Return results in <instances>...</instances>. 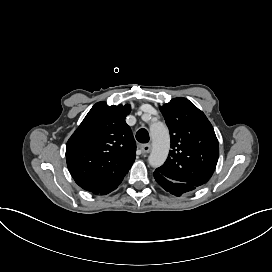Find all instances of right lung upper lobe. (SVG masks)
I'll use <instances>...</instances> for the list:
<instances>
[{"label":"right lung upper lobe","instance_id":"right-lung-upper-lobe-1","mask_svg":"<svg viewBox=\"0 0 272 272\" xmlns=\"http://www.w3.org/2000/svg\"><path fill=\"white\" fill-rule=\"evenodd\" d=\"M129 104L96 103L66 145L68 169L86 191L104 193L123 180L136 156V143L125 118Z\"/></svg>","mask_w":272,"mask_h":272}]
</instances>
